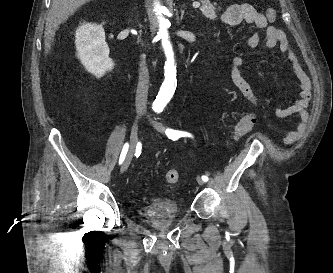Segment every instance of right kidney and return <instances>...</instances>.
<instances>
[{
    "label": "right kidney",
    "mask_w": 333,
    "mask_h": 273,
    "mask_svg": "<svg viewBox=\"0 0 333 273\" xmlns=\"http://www.w3.org/2000/svg\"><path fill=\"white\" fill-rule=\"evenodd\" d=\"M75 38L78 58L88 72L101 78L113 69L114 62L109 58V47L102 24L81 25L76 30Z\"/></svg>",
    "instance_id": "1"
}]
</instances>
